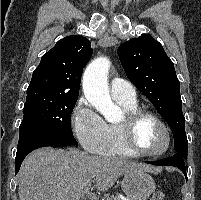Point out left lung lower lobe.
Returning <instances> with one entry per match:
<instances>
[{"mask_svg": "<svg viewBox=\"0 0 201 200\" xmlns=\"http://www.w3.org/2000/svg\"><path fill=\"white\" fill-rule=\"evenodd\" d=\"M186 159H187V154L177 152L172 157L165 158V159L158 160V161L146 162V163H150L152 165H157V166L169 165V166L177 167L184 173L186 180H187L186 167H185V160Z\"/></svg>", "mask_w": 201, "mask_h": 200, "instance_id": "obj_1", "label": "left lung lower lobe"}]
</instances>
